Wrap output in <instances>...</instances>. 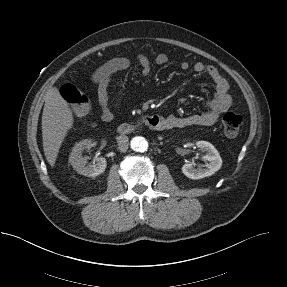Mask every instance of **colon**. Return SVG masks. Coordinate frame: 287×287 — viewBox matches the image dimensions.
<instances>
[{
    "label": "colon",
    "mask_w": 287,
    "mask_h": 287,
    "mask_svg": "<svg viewBox=\"0 0 287 287\" xmlns=\"http://www.w3.org/2000/svg\"><path fill=\"white\" fill-rule=\"evenodd\" d=\"M61 95L73 106L74 112L79 116H84L89 112V99L75 86L66 84L61 88ZM243 123L242 116L235 112H227L222 118V126L226 136L235 137Z\"/></svg>",
    "instance_id": "colon-1"
}]
</instances>
